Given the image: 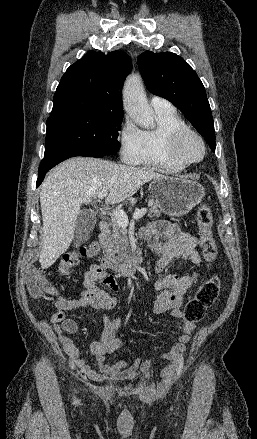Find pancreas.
Wrapping results in <instances>:
<instances>
[{
    "instance_id": "obj_1",
    "label": "pancreas",
    "mask_w": 257,
    "mask_h": 439,
    "mask_svg": "<svg viewBox=\"0 0 257 439\" xmlns=\"http://www.w3.org/2000/svg\"><path fill=\"white\" fill-rule=\"evenodd\" d=\"M148 203L150 205L148 216L159 217L163 211L160 204L154 199H149ZM110 226L112 230L103 234L102 245L107 257L106 262L112 266L122 260V252L128 247V237L126 227L121 226L116 219L112 220Z\"/></svg>"
}]
</instances>
